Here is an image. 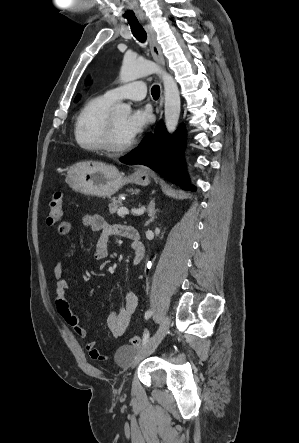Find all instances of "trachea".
Here are the masks:
<instances>
[{
	"label": "trachea",
	"mask_w": 299,
	"mask_h": 443,
	"mask_svg": "<svg viewBox=\"0 0 299 443\" xmlns=\"http://www.w3.org/2000/svg\"><path fill=\"white\" fill-rule=\"evenodd\" d=\"M126 18L128 20V23L131 27L132 34L134 37L140 41L141 43H144L147 38V34L145 30L143 29L142 25L139 23L138 19L132 12L126 13ZM151 94L154 99H158L160 95V88L158 85H154L151 89Z\"/></svg>",
	"instance_id": "trachea-1"
}]
</instances>
